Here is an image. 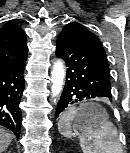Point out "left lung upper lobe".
I'll use <instances>...</instances> for the list:
<instances>
[{
  "instance_id": "left-lung-upper-lobe-1",
  "label": "left lung upper lobe",
  "mask_w": 130,
  "mask_h": 153,
  "mask_svg": "<svg viewBox=\"0 0 130 153\" xmlns=\"http://www.w3.org/2000/svg\"><path fill=\"white\" fill-rule=\"evenodd\" d=\"M62 32H71V33L80 34L81 36L86 37L88 40H90L93 44H95L97 47H99L104 52L102 43L100 42L99 38L95 36L92 32H90L89 30H87L83 25L77 22H71L67 24L62 29Z\"/></svg>"
}]
</instances>
